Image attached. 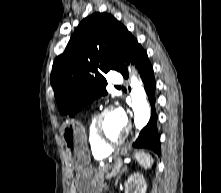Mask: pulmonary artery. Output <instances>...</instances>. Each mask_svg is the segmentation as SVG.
Wrapping results in <instances>:
<instances>
[{
  "label": "pulmonary artery",
  "instance_id": "1",
  "mask_svg": "<svg viewBox=\"0 0 221 193\" xmlns=\"http://www.w3.org/2000/svg\"><path fill=\"white\" fill-rule=\"evenodd\" d=\"M111 81L116 87H118L119 85L122 84L123 77L119 72L115 71L111 77Z\"/></svg>",
  "mask_w": 221,
  "mask_h": 193
}]
</instances>
